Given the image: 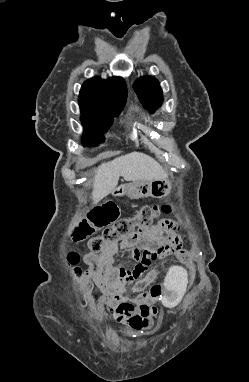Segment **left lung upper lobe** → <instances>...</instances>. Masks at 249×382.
Returning <instances> with one entry per match:
<instances>
[{
  "label": "left lung upper lobe",
  "instance_id": "5c2ea615",
  "mask_svg": "<svg viewBox=\"0 0 249 382\" xmlns=\"http://www.w3.org/2000/svg\"><path fill=\"white\" fill-rule=\"evenodd\" d=\"M143 106L153 112L162 103V91L153 77H141L133 85Z\"/></svg>",
  "mask_w": 249,
  "mask_h": 382
}]
</instances>
